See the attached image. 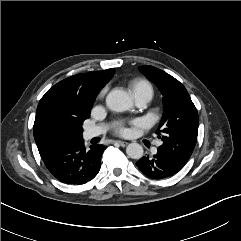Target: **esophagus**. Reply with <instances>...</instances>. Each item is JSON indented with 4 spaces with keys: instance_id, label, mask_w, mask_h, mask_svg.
I'll return each instance as SVG.
<instances>
[{
    "instance_id": "1",
    "label": "esophagus",
    "mask_w": 241,
    "mask_h": 241,
    "mask_svg": "<svg viewBox=\"0 0 241 241\" xmlns=\"http://www.w3.org/2000/svg\"><path fill=\"white\" fill-rule=\"evenodd\" d=\"M120 146L124 147L128 144V142L125 141H116Z\"/></svg>"
}]
</instances>
